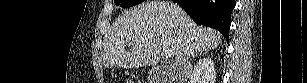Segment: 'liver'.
<instances>
[{"instance_id":"liver-1","label":"liver","mask_w":307,"mask_h":83,"mask_svg":"<svg viewBox=\"0 0 307 83\" xmlns=\"http://www.w3.org/2000/svg\"><path fill=\"white\" fill-rule=\"evenodd\" d=\"M221 42L219 32L198 26L180 6L148 1L116 18L103 44V63L123 68L156 66L167 49L176 64H182Z\"/></svg>"}]
</instances>
